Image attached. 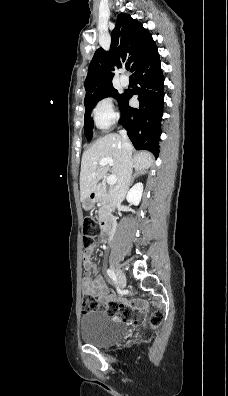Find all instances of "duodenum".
Listing matches in <instances>:
<instances>
[{
	"label": "duodenum",
	"instance_id": "duodenum-1",
	"mask_svg": "<svg viewBox=\"0 0 228 396\" xmlns=\"http://www.w3.org/2000/svg\"><path fill=\"white\" fill-rule=\"evenodd\" d=\"M92 196L94 197L95 195L93 194ZM100 225L103 233L109 234L115 227V221L110 217L102 218Z\"/></svg>",
	"mask_w": 228,
	"mask_h": 396
}]
</instances>
